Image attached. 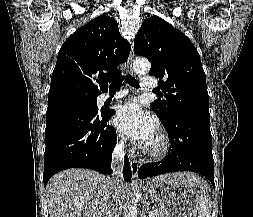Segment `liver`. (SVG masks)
I'll return each instance as SVG.
<instances>
[{
  "label": "liver",
  "mask_w": 253,
  "mask_h": 217,
  "mask_svg": "<svg viewBox=\"0 0 253 217\" xmlns=\"http://www.w3.org/2000/svg\"><path fill=\"white\" fill-rule=\"evenodd\" d=\"M172 175L193 186L202 183L190 172ZM165 177L159 176L153 181ZM112 182L110 178L88 169H69L56 174L47 185L49 217H108L112 213ZM121 184L124 199L127 184Z\"/></svg>",
  "instance_id": "liver-1"
}]
</instances>
